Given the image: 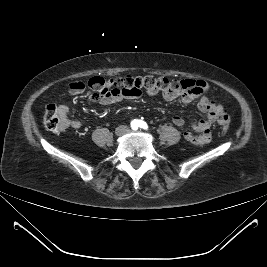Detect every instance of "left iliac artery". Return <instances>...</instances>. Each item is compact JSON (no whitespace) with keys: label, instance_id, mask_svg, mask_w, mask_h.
<instances>
[{"label":"left iliac artery","instance_id":"obj_1","mask_svg":"<svg viewBox=\"0 0 267 267\" xmlns=\"http://www.w3.org/2000/svg\"><path fill=\"white\" fill-rule=\"evenodd\" d=\"M137 123H138V126L143 128V129L148 128L147 124L144 121L139 120V121H137Z\"/></svg>","mask_w":267,"mask_h":267}]
</instances>
